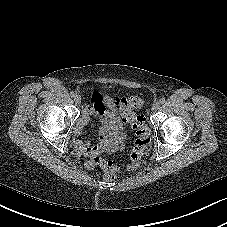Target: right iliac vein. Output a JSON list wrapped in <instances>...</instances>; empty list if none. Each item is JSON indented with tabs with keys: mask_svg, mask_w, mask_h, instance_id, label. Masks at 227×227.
Returning a JSON list of instances; mask_svg holds the SVG:
<instances>
[{
	"mask_svg": "<svg viewBox=\"0 0 227 227\" xmlns=\"http://www.w3.org/2000/svg\"><path fill=\"white\" fill-rule=\"evenodd\" d=\"M74 102H75L76 104H80V102H81V97H80L79 95H75V96H74Z\"/></svg>",
	"mask_w": 227,
	"mask_h": 227,
	"instance_id": "1",
	"label": "right iliac vein"
}]
</instances>
